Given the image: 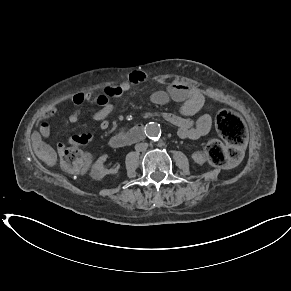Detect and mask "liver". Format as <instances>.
<instances>
[{"label": "liver", "mask_w": 291, "mask_h": 291, "mask_svg": "<svg viewBox=\"0 0 291 291\" xmlns=\"http://www.w3.org/2000/svg\"><path fill=\"white\" fill-rule=\"evenodd\" d=\"M36 155L41 159L43 162L48 164L49 166H54L57 162V156L55 151L50 147H45L38 149L37 145L33 146Z\"/></svg>", "instance_id": "obj_1"}]
</instances>
